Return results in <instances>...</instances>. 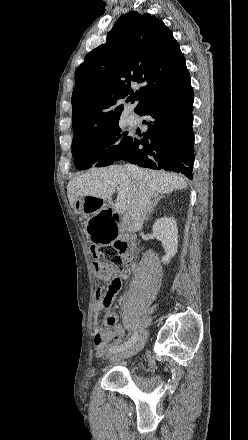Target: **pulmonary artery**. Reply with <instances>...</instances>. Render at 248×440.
<instances>
[{
    "label": "pulmonary artery",
    "instance_id": "obj_1",
    "mask_svg": "<svg viewBox=\"0 0 248 440\" xmlns=\"http://www.w3.org/2000/svg\"><path fill=\"white\" fill-rule=\"evenodd\" d=\"M127 121L132 124L136 121V115L134 113H129L127 115Z\"/></svg>",
    "mask_w": 248,
    "mask_h": 440
}]
</instances>
